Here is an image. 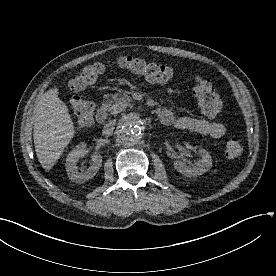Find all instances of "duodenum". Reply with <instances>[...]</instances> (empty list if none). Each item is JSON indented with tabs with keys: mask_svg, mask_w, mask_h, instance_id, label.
Wrapping results in <instances>:
<instances>
[{
	"mask_svg": "<svg viewBox=\"0 0 276 276\" xmlns=\"http://www.w3.org/2000/svg\"><path fill=\"white\" fill-rule=\"evenodd\" d=\"M157 115L160 120L164 117V112L162 110L157 111ZM96 121L100 124H104L108 119V111L105 107H100L96 112Z\"/></svg>",
	"mask_w": 276,
	"mask_h": 276,
	"instance_id": "1",
	"label": "duodenum"
}]
</instances>
